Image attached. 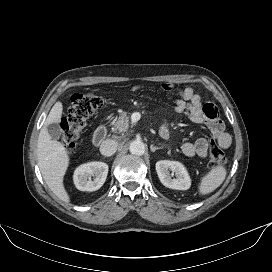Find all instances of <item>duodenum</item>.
<instances>
[{"instance_id": "410a0bca", "label": "duodenum", "mask_w": 272, "mask_h": 272, "mask_svg": "<svg viewBox=\"0 0 272 272\" xmlns=\"http://www.w3.org/2000/svg\"><path fill=\"white\" fill-rule=\"evenodd\" d=\"M107 135V129L105 126H99L95 129L93 136H92V142L94 145L99 146L103 143Z\"/></svg>"}]
</instances>
